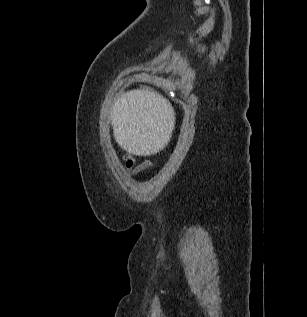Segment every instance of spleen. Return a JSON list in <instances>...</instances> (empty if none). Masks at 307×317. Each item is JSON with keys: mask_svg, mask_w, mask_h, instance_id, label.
Instances as JSON below:
<instances>
[{"mask_svg": "<svg viewBox=\"0 0 307 317\" xmlns=\"http://www.w3.org/2000/svg\"><path fill=\"white\" fill-rule=\"evenodd\" d=\"M169 105L161 99V91L153 86H141L140 91H130L117 102L113 112V129L116 141L129 152L149 155V150L172 148L174 122Z\"/></svg>", "mask_w": 307, "mask_h": 317, "instance_id": "spleen-1", "label": "spleen"}]
</instances>
